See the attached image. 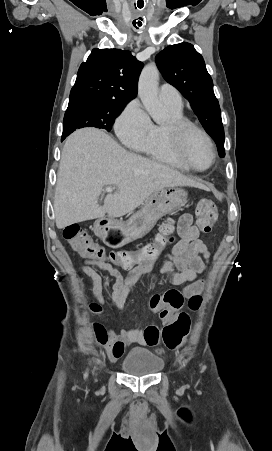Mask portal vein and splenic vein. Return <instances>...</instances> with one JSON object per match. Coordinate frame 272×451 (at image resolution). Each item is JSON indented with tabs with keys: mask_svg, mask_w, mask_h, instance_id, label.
<instances>
[{
	"mask_svg": "<svg viewBox=\"0 0 272 451\" xmlns=\"http://www.w3.org/2000/svg\"><path fill=\"white\" fill-rule=\"evenodd\" d=\"M104 192H113V188H105Z\"/></svg>",
	"mask_w": 272,
	"mask_h": 451,
	"instance_id": "obj_1",
	"label": "portal vein and splenic vein"
}]
</instances>
